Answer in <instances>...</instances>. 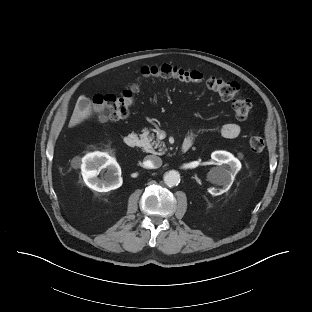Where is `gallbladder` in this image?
<instances>
[{
  "label": "gallbladder",
  "mask_w": 312,
  "mask_h": 312,
  "mask_svg": "<svg viewBox=\"0 0 312 312\" xmlns=\"http://www.w3.org/2000/svg\"><path fill=\"white\" fill-rule=\"evenodd\" d=\"M80 103H81V105H85L87 103V101L86 100H82Z\"/></svg>",
  "instance_id": "bac80fb5"
}]
</instances>
